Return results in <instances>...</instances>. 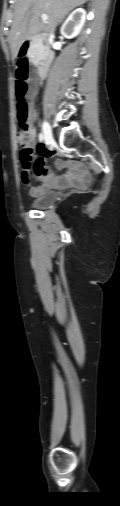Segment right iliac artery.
Listing matches in <instances>:
<instances>
[{
  "label": "right iliac artery",
  "instance_id": "82829eb1",
  "mask_svg": "<svg viewBox=\"0 0 120 506\" xmlns=\"http://www.w3.org/2000/svg\"><path fill=\"white\" fill-rule=\"evenodd\" d=\"M43 140H44V136H43V134H42V133H40V134H39V141H40V143H42V142H43Z\"/></svg>",
  "mask_w": 120,
  "mask_h": 506
}]
</instances>
